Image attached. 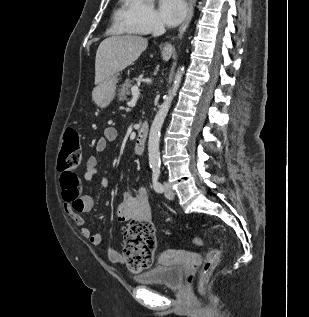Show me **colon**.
<instances>
[{
	"instance_id": "5ec220e1",
	"label": "colon",
	"mask_w": 309,
	"mask_h": 317,
	"mask_svg": "<svg viewBox=\"0 0 309 317\" xmlns=\"http://www.w3.org/2000/svg\"><path fill=\"white\" fill-rule=\"evenodd\" d=\"M81 159L80 136L76 129L67 128L63 137V146L58 160V169L61 172V182L66 184L67 174L73 172ZM124 256L128 267L134 272H141L148 269L153 262V255L156 250L157 241L155 228L151 221L139 219L129 223L124 232ZM196 246L202 245V239H193ZM223 252V244L207 252L201 266L198 291L204 295L208 280L215 269Z\"/></svg>"
}]
</instances>
